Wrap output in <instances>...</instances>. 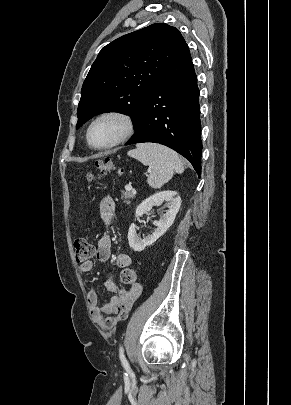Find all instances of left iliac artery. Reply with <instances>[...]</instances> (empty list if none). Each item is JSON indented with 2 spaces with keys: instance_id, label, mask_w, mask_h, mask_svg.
<instances>
[{
  "instance_id": "obj_1",
  "label": "left iliac artery",
  "mask_w": 291,
  "mask_h": 405,
  "mask_svg": "<svg viewBox=\"0 0 291 405\" xmlns=\"http://www.w3.org/2000/svg\"><path fill=\"white\" fill-rule=\"evenodd\" d=\"M119 356H120V360H121L122 364H123L125 367L128 366V362H127V360H126V358H125L124 349H123L122 346H120V348H119Z\"/></svg>"
}]
</instances>
